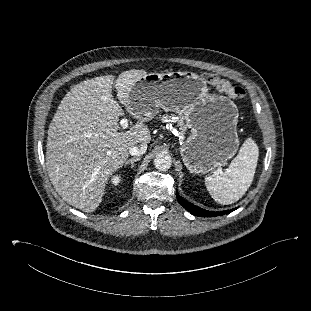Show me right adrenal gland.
<instances>
[{
  "instance_id": "2a0ac1e0",
  "label": "right adrenal gland",
  "mask_w": 311,
  "mask_h": 311,
  "mask_svg": "<svg viewBox=\"0 0 311 311\" xmlns=\"http://www.w3.org/2000/svg\"><path fill=\"white\" fill-rule=\"evenodd\" d=\"M140 160V157H136V158H131V159H128L127 161H125V166L127 164H131V167L133 168L134 167V164L135 162L139 161Z\"/></svg>"
}]
</instances>
